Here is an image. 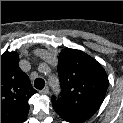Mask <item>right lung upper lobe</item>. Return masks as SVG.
<instances>
[{
	"mask_svg": "<svg viewBox=\"0 0 123 123\" xmlns=\"http://www.w3.org/2000/svg\"><path fill=\"white\" fill-rule=\"evenodd\" d=\"M18 62L16 52L1 55V123H23L29 112L28 99L37 92Z\"/></svg>",
	"mask_w": 123,
	"mask_h": 123,
	"instance_id": "1",
	"label": "right lung upper lobe"
}]
</instances>
